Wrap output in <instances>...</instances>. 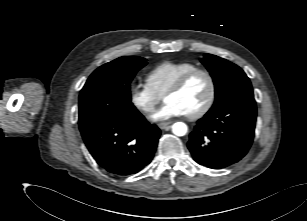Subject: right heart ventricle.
<instances>
[{
  "mask_svg": "<svg viewBox=\"0 0 307 221\" xmlns=\"http://www.w3.org/2000/svg\"><path fill=\"white\" fill-rule=\"evenodd\" d=\"M198 68L192 62L164 61L153 67L146 76V83L161 97L183 74Z\"/></svg>",
  "mask_w": 307,
  "mask_h": 221,
  "instance_id": "e07e8e85",
  "label": "right heart ventricle"
}]
</instances>
